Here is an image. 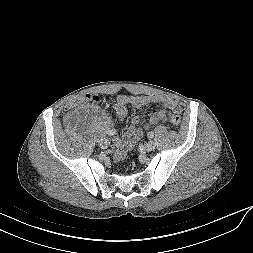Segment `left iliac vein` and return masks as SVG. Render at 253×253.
Returning <instances> with one entry per match:
<instances>
[{
  "label": "left iliac vein",
  "mask_w": 253,
  "mask_h": 253,
  "mask_svg": "<svg viewBox=\"0 0 253 253\" xmlns=\"http://www.w3.org/2000/svg\"><path fill=\"white\" fill-rule=\"evenodd\" d=\"M155 146H156L155 142L153 140H150L145 144V149L147 151H153L155 149Z\"/></svg>",
  "instance_id": "4c4485c4"
}]
</instances>
